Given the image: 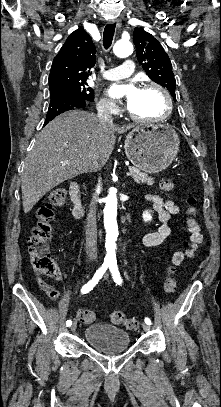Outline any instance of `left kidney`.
<instances>
[{
	"mask_svg": "<svg viewBox=\"0 0 221 407\" xmlns=\"http://www.w3.org/2000/svg\"><path fill=\"white\" fill-rule=\"evenodd\" d=\"M143 219H144V221H151L152 220V216L150 214V211H144L143 212Z\"/></svg>",
	"mask_w": 221,
	"mask_h": 407,
	"instance_id": "left-kidney-1",
	"label": "left kidney"
}]
</instances>
